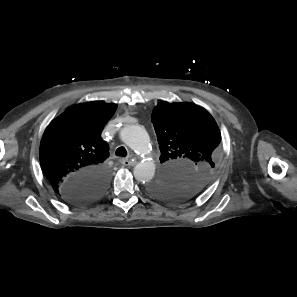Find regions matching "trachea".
<instances>
[{
	"instance_id": "3493384b",
	"label": "trachea",
	"mask_w": 297,
	"mask_h": 297,
	"mask_svg": "<svg viewBox=\"0 0 297 297\" xmlns=\"http://www.w3.org/2000/svg\"><path fill=\"white\" fill-rule=\"evenodd\" d=\"M116 155L121 156V157H125L127 155V151L123 146H121V147L117 148Z\"/></svg>"
}]
</instances>
